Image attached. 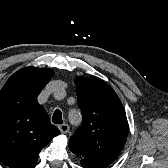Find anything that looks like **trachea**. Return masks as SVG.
<instances>
[{"mask_svg": "<svg viewBox=\"0 0 168 168\" xmlns=\"http://www.w3.org/2000/svg\"><path fill=\"white\" fill-rule=\"evenodd\" d=\"M53 123L55 124H62L63 120H62V113L60 110H55L54 114H53V118H52Z\"/></svg>", "mask_w": 168, "mask_h": 168, "instance_id": "trachea-1", "label": "trachea"}]
</instances>
